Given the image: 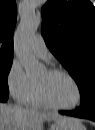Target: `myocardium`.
<instances>
[{
    "instance_id": "1",
    "label": "myocardium",
    "mask_w": 95,
    "mask_h": 130,
    "mask_svg": "<svg viewBox=\"0 0 95 130\" xmlns=\"http://www.w3.org/2000/svg\"><path fill=\"white\" fill-rule=\"evenodd\" d=\"M47 73L50 74V75L61 74V75L66 76L67 78H69L73 82L75 87H76V90H77V101L72 106H61V105H58V104L54 103L52 100H50V98L47 96L44 88L39 83H36L38 94H39L41 100L48 107H51V108H54V109H58V110H74V109H76L82 102V90H81V87H80V84L78 83V81L69 72H67L66 70L60 69V68L48 69Z\"/></svg>"
}]
</instances>
